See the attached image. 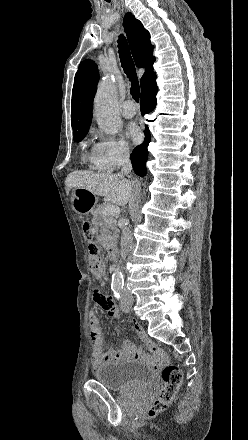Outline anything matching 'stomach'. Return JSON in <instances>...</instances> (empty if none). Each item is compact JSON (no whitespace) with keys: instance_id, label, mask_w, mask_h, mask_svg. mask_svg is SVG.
<instances>
[{"instance_id":"obj_1","label":"stomach","mask_w":248,"mask_h":440,"mask_svg":"<svg viewBox=\"0 0 248 440\" xmlns=\"http://www.w3.org/2000/svg\"><path fill=\"white\" fill-rule=\"evenodd\" d=\"M71 201L73 209L77 213L82 214L91 211L95 207L97 197L95 194L86 189L74 188L72 191ZM98 225L104 235H107L108 232H114L115 230V225L112 218H99ZM99 244L100 246H111L112 239L111 237H100Z\"/></svg>"}]
</instances>
